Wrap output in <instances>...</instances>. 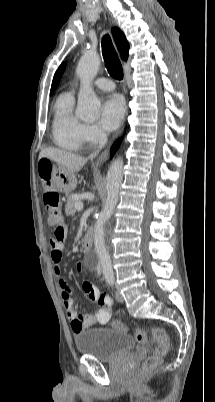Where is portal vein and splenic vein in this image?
I'll return each mask as SVG.
<instances>
[{"label": "portal vein and splenic vein", "instance_id": "1", "mask_svg": "<svg viewBox=\"0 0 215 402\" xmlns=\"http://www.w3.org/2000/svg\"><path fill=\"white\" fill-rule=\"evenodd\" d=\"M75 209L81 211L83 209V203L81 201H77L75 203Z\"/></svg>", "mask_w": 215, "mask_h": 402}]
</instances>
